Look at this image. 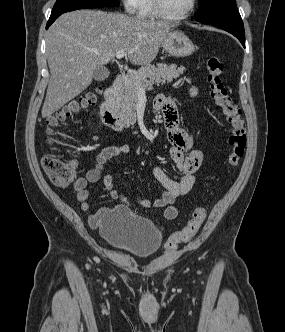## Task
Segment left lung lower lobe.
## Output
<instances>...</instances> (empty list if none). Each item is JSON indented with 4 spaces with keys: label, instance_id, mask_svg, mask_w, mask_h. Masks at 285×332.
Returning <instances> with one entry per match:
<instances>
[{
    "label": "left lung lower lobe",
    "instance_id": "0a47b994",
    "mask_svg": "<svg viewBox=\"0 0 285 332\" xmlns=\"http://www.w3.org/2000/svg\"><path fill=\"white\" fill-rule=\"evenodd\" d=\"M221 28L239 39L245 47V31L242 20L232 22L206 23Z\"/></svg>",
    "mask_w": 285,
    "mask_h": 332
}]
</instances>
